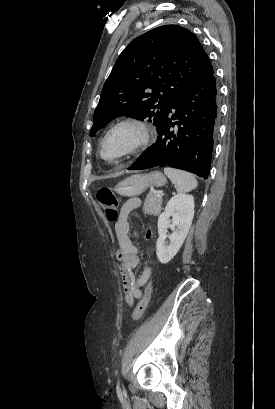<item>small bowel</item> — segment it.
Wrapping results in <instances>:
<instances>
[{
	"label": "small bowel",
	"instance_id": "obj_1",
	"mask_svg": "<svg viewBox=\"0 0 275 409\" xmlns=\"http://www.w3.org/2000/svg\"><path fill=\"white\" fill-rule=\"evenodd\" d=\"M140 205V199L131 198L122 207L121 216L115 225V235L118 242V259L120 260L119 269L122 275V284L124 291V300L131 303L134 299L141 298L143 287L148 282L151 269L149 264L145 267L139 277H136L134 268L139 262L138 248L130 237L131 213ZM148 263L149 253L146 252ZM115 260V259H114Z\"/></svg>",
	"mask_w": 275,
	"mask_h": 409
}]
</instances>
